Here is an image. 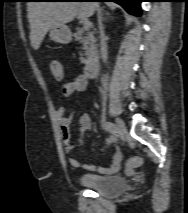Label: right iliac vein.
Returning <instances> with one entry per match:
<instances>
[{"label":"right iliac vein","instance_id":"63e3f726","mask_svg":"<svg viewBox=\"0 0 188 213\" xmlns=\"http://www.w3.org/2000/svg\"><path fill=\"white\" fill-rule=\"evenodd\" d=\"M116 125H117V129H118L120 134L126 133V125H125V123L122 119L117 118L116 119Z\"/></svg>","mask_w":188,"mask_h":213}]
</instances>
